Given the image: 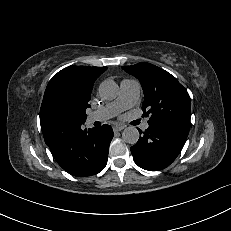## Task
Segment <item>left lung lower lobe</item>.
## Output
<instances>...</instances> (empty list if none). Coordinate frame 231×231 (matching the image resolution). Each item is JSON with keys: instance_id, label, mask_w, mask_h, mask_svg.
Returning a JSON list of instances; mask_svg holds the SVG:
<instances>
[{"instance_id": "0a47b994", "label": "left lung lower lobe", "mask_w": 231, "mask_h": 231, "mask_svg": "<svg viewBox=\"0 0 231 231\" xmlns=\"http://www.w3.org/2000/svg\"><path fill=\"white\" fill-rule=\"evenodd\" d=\"M142 137L131 147L134 162L149 171H158L169 166L180 153L189 133V128L168 122L151 121Z\"/></svg>"}]
</instances>
